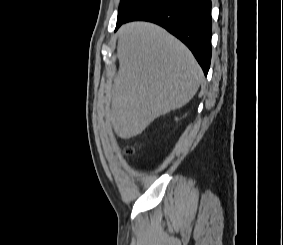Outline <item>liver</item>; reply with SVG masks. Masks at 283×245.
<instances>
[{
    "instance_id": "6515ba94",
    "label": "liver",
    "mask_w": 283,
    "mask_h": 245,
    "mask_svg": "<svg viewBox=\"0 0 283 245\" xmlns=\"http://www.w3.org/2000/svg\"><path fill=\"white\" fill-rule=\"evenodd\" d=\"M117 56L110 119L121 138L141 134L157 117L186 105L203 79L189 49L152 23L123 25Z\"/></svg>"
}]
</instances>
